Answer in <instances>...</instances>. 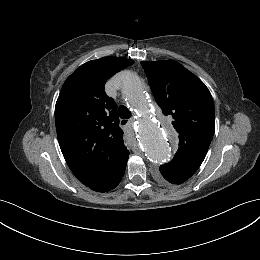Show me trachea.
<instances>
[{"label":"trachea","mask_w":260,"mask_h":260,"mask_svg":"<svg viewBox=\"0 0 260 260\" xmlns=\"http://www.w3.org/2000/svg\"><path fill=\"white\" fill-rule=\"evenodd\" d=\"M118 113L120 115L121 118L123 119H128L131 117V112L123 105H121L118 109Z\"/></svg>","instance_id":"obj_1"}]
</instances>
